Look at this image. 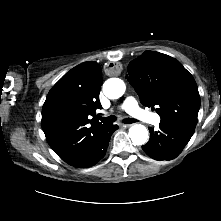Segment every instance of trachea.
Returning a JSON list of instances; mask_svg holds the SVG:
<instances>
[{"instance_id": "trachea-1", "label": "trachea", "mask_w": 221, "mask_h": 221, "mask_svg": "<svg viewBox=\"0 0 221 221\" xmlns=\"http://www.w3.org/2000/svg\"><path fill=\"white\" fill-rule=\"evenodd\" d=\"M99 119L102 120V121H105V122H109V123H112V122L116 121V117L114 115H111V116H108V117H99ZM123 122L126 123V124H131V123L137 122V120L134 119V118H127V119H124Z\"/></svg>"}]
</instances>
